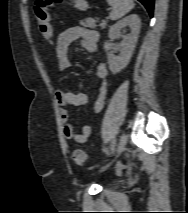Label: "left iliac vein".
Wrapping results in <instances>:
<instances>
[{
	"label": "left iliac vein",
	"instance_id": "4c4485c4",
	"mask_svg": "<svg viewBox=\"0 0 188 213\" xmlns=\"http://www.w3.org/2000/svg\"><path fill=\"white\" fill-rule=\"evenodd\" d=\"M126 143H127V136L125 134H122L120 139H119L118 146H117V154H116V156H119L124 151ZM107 167L108 166L103 167L101 169V171L106 170Z\"/></svg>",
	"mask_w": 188,
	"mask_h": 213
}]
</instances>
